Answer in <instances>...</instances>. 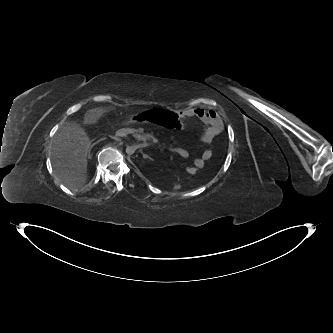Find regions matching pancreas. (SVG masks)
<instances>
[{"instance_id": "pancreas-1", "label": "pancreas", "mask_w": 333, "mask_h": 333, "mask_svg": "<svg viewBox=\"0 0 333 333\" xmlns=\"http://www.w3.org/2000/svg\"><path fill=\"white\" fill-rule=\"evenodd\" d=\"M125 133H131L133 137L137 139V141H147L149 138H152L151 134H143V131L141 129H125Z\"/></svg>"}]
</instances>
